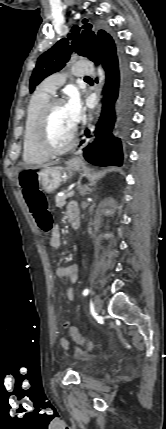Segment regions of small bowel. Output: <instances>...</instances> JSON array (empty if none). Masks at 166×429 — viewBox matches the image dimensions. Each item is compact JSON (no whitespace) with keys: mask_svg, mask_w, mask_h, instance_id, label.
<instances>
[{"mask_svg":"<svg viewBox=\"0 0 166 429\" xmlns=\"http://www.w3.org/2000/svg\"><path fill=\"white\" fill-rule=\"evenodd\" d=\"M73 211L78 212L77 206L75 204L69 205L67 209L68 215H70V213ZM49 244L54 249H57L60 247L61 240H60L59 229L57 226L53 228ZM55 274L60 278H67L70 281V283L73 284L78 280L79 268L76 264H72L64 267L59 266L55 268ZM66 295L69 300L72 301L74 299V292L70 286L67 287ZM59 342L61 346L69 347V342L66 339L61 338Z\"/></svg>","mask_w":166,"mask_h":429,"instance_id":"small-bowel-1","label":"small bowel"}]
</instances>
